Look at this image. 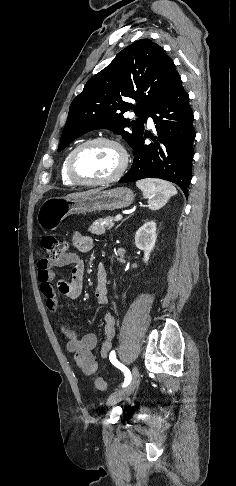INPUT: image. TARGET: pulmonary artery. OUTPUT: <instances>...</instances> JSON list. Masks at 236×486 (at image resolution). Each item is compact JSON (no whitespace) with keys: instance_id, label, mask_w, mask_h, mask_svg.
<instances>
[{"instance_id":"pulmonary-artery-1","label":"pulmonary artery","mask_w":236,"mask_h":486,"mask_svg":"<svg viewBox=\"0 0 236 486\" xmlns=\"http://www.w3.org/2000/svg\"><path fill=\"white\" fill-rule=\"evenodd\" d=\"M147 123H148V126H149V127H152V126H153V124H154V123H153V119H152L151 117H148V121H147Z\"/></svg>"}]
</instances>
